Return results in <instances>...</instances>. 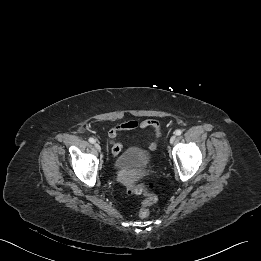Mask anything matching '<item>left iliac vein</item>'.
<instances>
[{
  "instance_id": "obj_1",
  "label": "left iliac vein",
  "mask_w": 261,
  "mask_h": 261,
  "mask_svg": "<svg viewBox=\"0 0 261 261\" xmlns=\"http://www.w3.org/2000/svg\"><path fill=\"white\" fill-rule=\"evenodd\" d=\"M175 140H176V136H175V135H172V136L170 137V143L173 144V143L175 142Z\"/></svg>"
}]
</instances>
